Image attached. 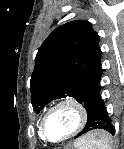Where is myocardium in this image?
Returning <instances> with one entry per match:
<instances>
[{"mask_svg": "<svg viewBox=\"0 0 124 149\" xmlns=\"http://www.w3.org/2000/svg\"><path fill=\"white\" fill-rule=\"evenodd\" d=\"M70 108L73 110L76 116V125L74 129L68 133L64 138L59 139V140H51L47 134H46V122L49 118V116L54 113L55 111L61 109V108ZM88 120V113L85 108V106L79 102L76 99L73 98H66L63 99L57 103H55L53 106H51L46 113L44 114L41 124H40V134L42 138L52 144H60L67 142L68 140L72 139L76 135H78L85 127L86 123Z\"/></svg>", "mask_w": 124, "mask_h": 149, "instance_id": "1", "label": "myocardium"}]
</instances>
